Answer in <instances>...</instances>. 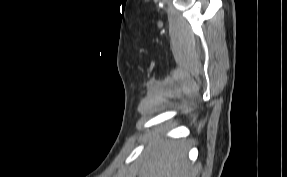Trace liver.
Instances as JSON below:
<instances>
[{"label":"liver","mask_w":287,"mask_h":177,"mask_svg":"<svg viewBox=\"0 0 287 177\" xmlns=\"http://www.w3.org/2000/svg\"><path fill=\"white\" fill-rule=\"evenodd\" d=\"M165 130L153 133L137 168L139 177H195L187 160L190 148L186 140H161Z\"/></svg>","instance_id":"1"}]
</instances>
